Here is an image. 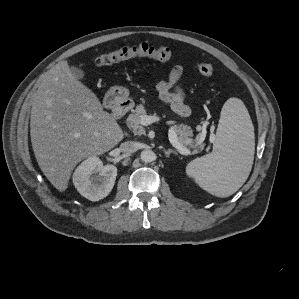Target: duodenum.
I'll return each instance as SVG.
<instances>
[{"label": "duodenum", "instance_id": "410a0bca", "mask_svg": "<svg viewBox=\"0 0 299 299\" xmlns=\"http://www.w3.org/2000/svg\"><path fill=\"white\" fill-rule=\"evenodd\" d=\"M130 102L128 100L115 101L111 105L112 117L114 119H120L130 109Z\"/></svg>", "mask_w": 299, "mask_h": 299}]
</instances>
